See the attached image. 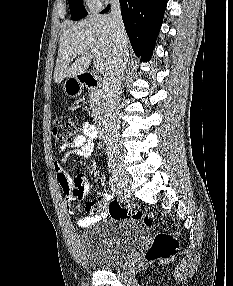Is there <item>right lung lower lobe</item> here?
<instances>
[{"label": "right lung lower lobe", "instance_id": "1", "mask_svg": "<svg viewBox=\"0 0 233 286\" xmlns=\"http://www.w3.org/2000/svg\"><path fill=\"white\" fill-rule=\"evenodd\" d=\"M122 19L134 53L149 60L162 25L167 0H119ZM108 5L101 13L108 11Z\"/></svg>", "mask_w": 233, "mask_h": 286}]
</instances>
